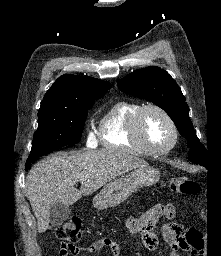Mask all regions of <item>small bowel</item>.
Instances as JSON below:
<instances>
[{"label": "small bowel", "instance_id": "small-bowel-1", "mask_svg": "<svg viewBox=\"0 0 221 256\" xmlns=\"http://www.w3.org/2000/svg\"><path fill=\"white\" fill-rule=\"evenodd\" d=\"M175 215V208L171 204L155 205L138 217L131 216L126 220V228L130 233L140 234L145 248L154 251L158 246L156 227L161 218H172ZM161 235L169 246L170 256H180L179 252L186 249V237L184 229L177 223H168L162 226ZM103 249L109 250L111 256L120 255V246L117 242L108 237L98 239L91 243L87 250L97 252ZM61 256H68L60 252Z\"/></svg>", "mask_w": 221, "mask_h": 256}]
</instances>
